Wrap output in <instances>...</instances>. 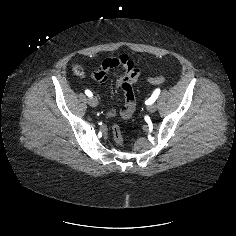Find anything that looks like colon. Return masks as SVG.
<instances>
[{
  "label": "colon",
  "mask_w": 236,
  "mask_h": 236,
  "mask_svg": "<svg viewBox=\"0 0 236 236\" xmlns=\"http://www.w3.org/2000/svg\"><path fill=\"white\" fill-rule=\"evenodd\" d=\"M73 71L76 75H80L82 73V69L79 66H75L73 68ZM165 79L166 77L164 75H159V76L149 78L148 81L150 84L156 85V84H160L164 82ZM130 106H131V103H130ZM112 135H113L114 141L117 144L119 145L123 144V136H122L121 128L116 124L112 126Z\"/></svg>",
  "instance_id": "colon-1"
}]
</instances>
